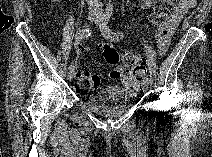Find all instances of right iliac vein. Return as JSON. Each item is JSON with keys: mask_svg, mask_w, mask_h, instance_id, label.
I'll return each mask as SVG.
<instances>
[{"mask_svg": "<svg viewBox=\"0 0 212 157\" xmlns=\"http://www.w3.org/2000/svg\"><path fill=\"white\" fill-rule=\"evenodd\" d=\"M98 19H99V17L96 14H94V13H90L88 15V20L90 22H93V21L96 22ZM73 77H74V71H69V73L67 75L68 80L71 81L73 79Z\"/></svg>", "mask_w": 212, "mask_h": 157, "instance_id": "right-iliac-vein-1", "label": "right iliac vein"}]
</instances>
